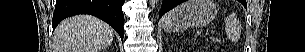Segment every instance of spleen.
I'll list each match as a JSON object with an SVG mask.
<instances>
[{
  "label": "spleen",
  "mask_w": 305,
  "mask_h": 52,
  "mask_svg": "<svg viewBox=\"0 0 305 52\" xmlns=\"http://www.w3.org/2000/svg\"><path fill=\"white\" fill-rule=\"evenodd\" d=\"M225 31L229 39H232V34L238 37L240 34V28L238 26V21L234 15H228L225 19Z\"/></svg>",
  "instance_id": "spleen-1"
}]
</instances>
